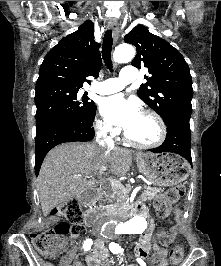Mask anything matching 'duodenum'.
<instances>
[{
	"mask_svg": "<svg viewBox=\"0 0 221 266\" xmlns=\"http://www.w3.org/2000/svg\"><path fill=\"white\" fill-rule=\"evenodd\" d=\"M98 194V191L87 190L81 196L80 199L83 202L90 201L94 199ZM142 209V205L139 203H131L126 207H115V211H107L106 215L110 216V213H113L115 216H134ZM105 214L101 209H91L85 213L84 222L87 226H93L97 221L104 217Z\"/></svg>",
	"mask_w": 221,
	"mask_h": 266,
	"instance_id": "duodenum-1",
	"label": "duodenum"
}]
</instances>
